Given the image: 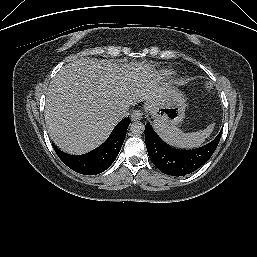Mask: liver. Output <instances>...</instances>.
I'll list each match as a JSON object with an SVG mask.
<instances>
[{
  "instance_id": "obj_1",
  "label": "liver",
  "mask_w": 257,
  "mask_h": 257,
  "mask_svg": "<svg viewBox=\"0 0 257 257\" xmlns=\"http://www.w3.org/2000/svg\"><path fill=\"white\" fill-rule=\"evenodd\" d=\"M165 87L148 64L75 60L60 69L48 88L49 136L65 152L86 153L106 140L120 121V108L145 101L149 110L161 100Z\"/></svg>"
}]
</instances>
